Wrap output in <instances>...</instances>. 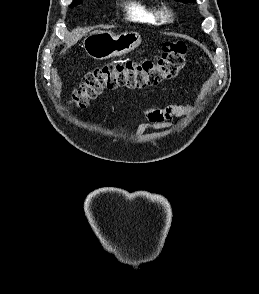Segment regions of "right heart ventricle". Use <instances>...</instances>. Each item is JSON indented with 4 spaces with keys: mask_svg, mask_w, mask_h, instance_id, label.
<instances>
[{
    "mask_svg": "<svg viewBox=\"0 0 259 294\" xmlns=\"http://www.w3.org/2000/svg\"><path fill=\"white\" fill-rule=\"evenodd\" d=\"M125 9L126 16L131 21L148 25H157L160 23L158 12L141 1H129L125 5Z\"/></svg>",
    "mask_w": 259,
    "mask_h": 294,
    "instance_id": "e07e8e85",
    "label": "right heart ventricle"
}]
</instances>
